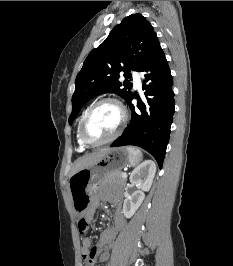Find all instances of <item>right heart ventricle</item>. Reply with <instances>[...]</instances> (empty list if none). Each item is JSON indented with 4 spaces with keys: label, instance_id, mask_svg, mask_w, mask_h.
<instances>
[{
    "label": "right heart ventricle",
    "instance_id": "right-heart-ventricle-1",
    "mask_svg": "<svg viewBox=\"0 0 233 266\" xmlns=\"http://www.w3.org/2000/svg\"><path fill=\"white\" fill-rule=\"evenodd\" d=\"M87 110H88V108H87V109L83 112V114L81 115L80 120H79V122H78V126H77V134H76V136H77V143H78V145H79L80 150H84L85 147H86V146L81 142V140H80V138H79V127H80V123H81V121H82V119H83L85 113L87 112Z\"/></svg>",
    "mask_w": 233,
    "mask_h": 266
}]
</instances>
